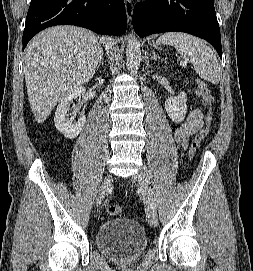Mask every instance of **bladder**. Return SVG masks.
Returning a JSON list of instances; mask_svg holds the SVG:
<instances>
[{
	"label": "bladder",
	"mask_w": 253,
	"mask_h": 271,
	"mask_svg": "<svg viewBox=\"0 0 253 271\" xmlns=\"http://www.w3.org/2000/svg\"><path fill=\"white\" fill-rule=\"evenodd\" d=\"M97 249L117 262H129L142 256L148 239L142 226L129 218H116L104 222L95 234Z\"/></svg>",
	"instance_id": "bladder-1"
}]
</instances>
